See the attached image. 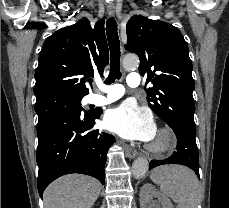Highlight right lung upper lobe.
<instances>
[{
    "label": "right lung upper lobe",
    "mask_w": 229,
    "mask_h": 208,
    "mask_svg": "<svg viewBox=\"0 0 229 208\" xmlns=\"http://www.w3.org/2000/svg\"><path fill=\"white\" fill-rule=\"evenodd\" d=\"M38 60L36 102L54 96L84 97L89 93L86 78L94 72L103 75L109 61L104 20L92 28L84 17L56 31L45 40Z\"/></svg>",
    "instance_id": "right-lung-upper-lobe-1"
}]
</instances>
